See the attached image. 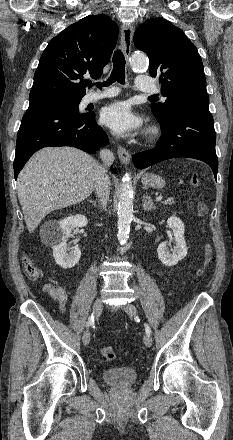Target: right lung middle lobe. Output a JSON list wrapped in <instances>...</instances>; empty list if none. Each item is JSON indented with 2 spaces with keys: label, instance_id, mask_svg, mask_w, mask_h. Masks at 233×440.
I'll return each instance as SVG.
<instances>
[{
  "label": "right lung middle lobe",
  "instance_id": "1",
  "mask_svg": "<svg viewBox=\"0 0 233 440\" xmlns=\"http://www.w3.org/2000/svg\"><path fill=\"white\" fill-rule=\"evenodd\" d=\"M81 99H58L53 100L50 102H46L43 104H52V105H58V106H65L70 108L73 111H79V103Z\"/></svg>",
  "mask_w": 233,
  "mask_h": 440
}]
</instances>
